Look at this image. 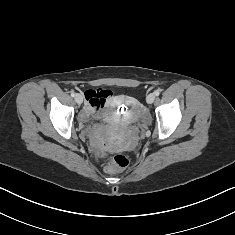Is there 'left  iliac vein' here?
<instances>
[{
  "label": "left iliac vein",
  "mask_w": 235,
  "mask_h": 235,
  "mask_svg": "<svg viewBox=\"0 0 235 235\" xmlns=\"http://www.w3.org/2000/svg\"><path fill=\"white\" fill-rule=\"evenodd\" d=\"M154 100H155V94H154V93H150V94L147 96V98H146V101H147V103H149V104L153 103Z\"/></svg>",
  "instance_id": "4c4485c4"
}]
</instances>
